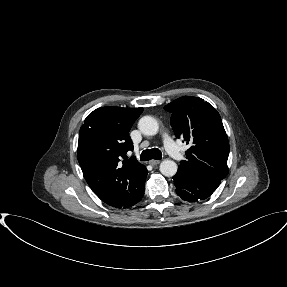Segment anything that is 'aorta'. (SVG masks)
I'll list each match as a JSON object with an SVG mask.
<instances>
[{
    "label": "aorta",
    "mask_w": 287,
    "mask_h": 287,
    "mask_svg": "<svg viewBox=\"0 0 287 287\" xmlns=\"http://www.w3.org/2000/svg\"><path fill=\"white\" fill-rule=\"evenodd\" d=\"M139 130L147 136L157 134L159 124L157 120L151 116H143L138 122ZM160 172L167 177H172L177 173V164L173 160H164L160 164Z\"/></svg>",
    "instance_id": "1"
}]
</instances>
